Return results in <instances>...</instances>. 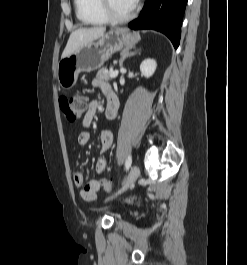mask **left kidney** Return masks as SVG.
I'll list each match as a JSON object with an SVG mask.
<instances>
[{"label":"left kidney","instance_id":"5707ae66","mask_svg":"<svg viewBox=\"0 0 247 265\" xmlns=\"http://www.w3.org/2000/svg\"><path fill=\"white\" fill-rule=\"evenodd\" d=\"M156 66L157 64L155 60L153 59L144 60L140 65L141 74L146 78L151 77L156 70Z\"/></svg>","mask_w":247,"mask_h":265}]
</instances>
